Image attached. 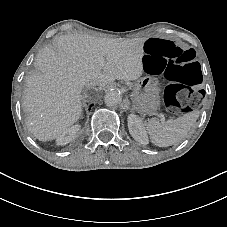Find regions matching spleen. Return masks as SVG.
Returning <instances> with one entry per match:
<instances>
[{
  "instance_id": "1",
  "label": "spleen",
  "mask_w": 227,
  "mask_h": 227,
  "mask_svg": "<svg viewBox=\"0 0 227 227\" xmlns=\"http://www.w3.org/2000/svg\"><path fill=\"white\" fill-rule=\"evenodd\" d=\"M198 116L199 112L193 111L181 118L171 119L166 122L151 119L146 124V131L155 145L160 147L170 146L182 141Z\"/></svg>"
}]
</instances>
